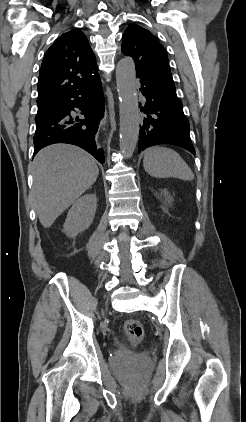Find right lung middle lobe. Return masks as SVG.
Returning a JSON list of instances; mask_svg holds the SVG:
<instances>
[{"label": "right lung middle lobe", "mask_w": 246, "mask_h": 422, "mask_svg": "<svg viewBox=\"0 0 246 422\" xmlns=\"http://www.w3.org/2000/svg\"><path fill=\"white\" fill-rule=\"evenodd\" d=\"M40 114V110H38V112H37V115H39Z\"/></svg>", "instance_id": "obj_1"}]
</instances>
